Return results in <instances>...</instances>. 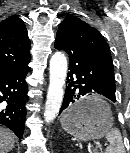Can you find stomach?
I'll return each instance as SVG.
<instances>
[{
    "label": "stomach",
    "mask_w": 130,
    "mask_h": 153,
    "mask_svg": "<svg viewBox=\"0 0 130 153\" xmlns=\"http://www.w3.org/2000/svg\"><path fill=\"white\" fill-rule=\"evenodd\" d=\"M62 127L78 140L99 139L113 125V115L107 103L96 97L81 99L62 117Z\"/></svg>",
    "instance_id": "obj_1"
}]
</instances>
